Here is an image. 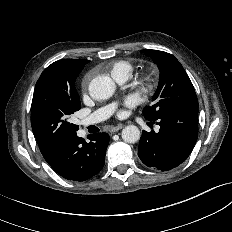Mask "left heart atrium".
<instances>
[{
  "label": "left heart atrium",
  "mask_w": 232,
  "mask_h": 232,
  "mask_svg": "<svg viewBox=\"0 0 232 232\" xmlns=\"http://www.w3.org/2000/svg\"><path fill=\"white\" fill-rule=\"evenodd\" d=\"M137 103L136 99L134 97H129L125 100V106H128V107H131V106H134L135 104ZM124 114V111H120L119 112V115H123Z\"/></svg>",
  "instance_id": "obj_1"
}]
</instances>
